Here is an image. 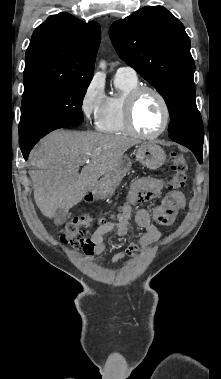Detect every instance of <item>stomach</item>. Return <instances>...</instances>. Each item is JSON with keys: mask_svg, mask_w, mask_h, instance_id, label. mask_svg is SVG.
I'll return each mask as SVG.
<instances>
[{"mask_svg": "<svg viewBox=\"0 0 221 379\" xmlns=\"http://www.w3.org/2000/svg\"><path fill=\"white\" fill-rule=\"evenodd\" d=\"M136 160L143 166L155 170L162 166L166 160L164 150L156 143L146 142L138 146ZM132 162L127 156H122L110 171L98 181L94 188L97 198H106L111 195L123 177L130 171Z\"/></svg>", "mask_w": 221, "mask_h": 379, "instance_id": "obj_1", "label": "stomach"}]
</instances>
